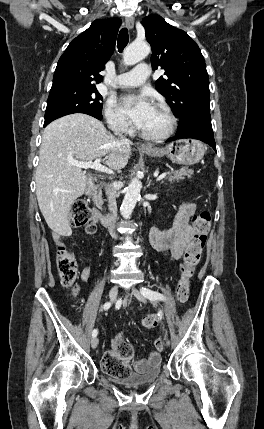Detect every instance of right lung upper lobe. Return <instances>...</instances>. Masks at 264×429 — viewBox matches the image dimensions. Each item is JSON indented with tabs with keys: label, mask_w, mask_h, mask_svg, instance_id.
Here are the masks:
<instances>
[{
	"label": "right lung upper lobe",
	"mask_w": 264,
	"mask_h": 429,
	"mask_svg": "<svg viewBox=\"0 0 264 429\" xmlns=\"http://www.w3.org/2000/svg\"><path fill=\"white\" fill-rule=\"evenodd\" d=\"M120 25L119 18L96 20L73 39L58 61L51 90L101 82L99 72L114 52Z\"/></svg>",
	"instance_id": "1"
}]
</instances>
